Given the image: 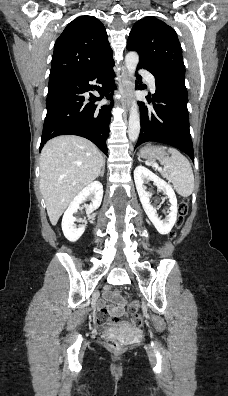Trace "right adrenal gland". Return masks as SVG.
<instances>
[{
    "label": "right adrenal gland",
    "instance_id": "obj_1",
    "mask_svg": "<svg viewBox=\"0 0 228 396\" xmlns=\"http://www.w3.org/2000/svg\"><path fill=\"white\" fill-rule=\"evenodd\" d=\"M104 171H105V164L102 166V169H101V171H100L98 177H99V176L103 177Z\"/></svg>",
    "mask_w": 228,
    "mask_h": 396
}]
</instances>
